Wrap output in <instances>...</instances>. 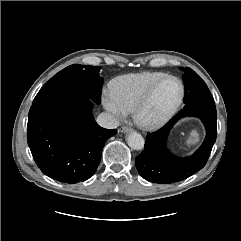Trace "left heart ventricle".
Here are the masks:
<instances>
[{
    "mask_svg": "<svg viewBox=\"0 0 241 241\" xmlns=\"http://www.w3.org/2000/svg\"><path fill=\"white\" fill-rule=\"evenodd\" d=\"M180 86L176 80L164 81L155 91L151 101L145 108V118H155L167 111L178 99Z\"/></svg>",
    "mask_w": 241,
    "mask_h": 241,
    "instance_id": "obj_1",
    "label": "left heart ventricle"
}]
</instances>
